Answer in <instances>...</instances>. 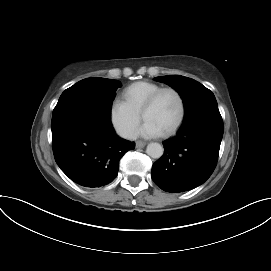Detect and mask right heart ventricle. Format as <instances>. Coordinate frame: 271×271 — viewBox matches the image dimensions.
<instances>
[{"mask_svg": "<svg viewBox=\"0 0 271 271\" xmlns=\"http://www.w3.org/2000/svg\"><path fill=\"white\" fill-rule=\"evenodd\" d=\"M162 88L161 85L150 81H138L127 86L122 96L124 102L136 113L141 114V110L147 99L157 90Z\"/></svg>", "mask_w": 271, "mask_h": 271, "instance_id": "obj_1", "label": "right heart ventricle"}]
</instances>
